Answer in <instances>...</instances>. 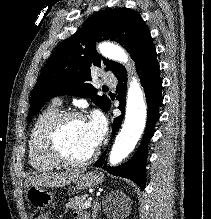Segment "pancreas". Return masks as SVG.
<instances>
[{
    "instance_id": "1",
    "label": "pancreas",
    "mask_w": 211,
    "mask_h": 219,
    "mask_svg": "<svg viewBox=\"0 0 211 219\" xmlns=\"http://www.w3.org/2000/svg\"><path fill=\"white\" fill-rule=\"evenodd\" d=\"M87 198H88V194H83L81 196H76L75 198H71L69 199V202L66 203V208L81 210Z\"/></svg>"
}]
</instances>
